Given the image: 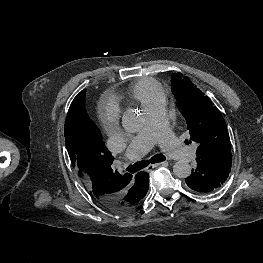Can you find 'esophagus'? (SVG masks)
<instances>
[{"label": "esophagus", "mask_w": 263, "mask_h": 263, "mask_svg": "<svg viewBox=\"0 0 263 263\" xmlns=\"http://www.w3.org/2000/svg\"><path fill=\"white\" fill-rule=\"evenodd\" d=\"M166 164H168V163H167V162H161V163L150 164V165L146 168V170H147V171H151L153 168H156V167L161 166V165H166Z\"/></svg>", "instance_id": "esophagus-1"}]
</instances>
